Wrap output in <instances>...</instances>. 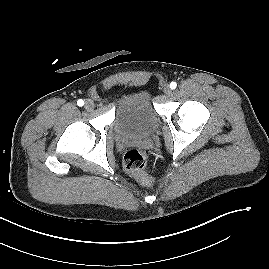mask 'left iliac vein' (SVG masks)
Wrapping results in <instances>:
<instances>
[{"label":"left iliac vein","mask_w":269,"mask_h":269,"mask_svg":"<svg viewBox=\"0 0 269 269\" xmlns=\"http://www.w3.org/2000/svg\"><path fill=\"white\" fill-rule=\"evenodd\" d=\"M163 92L165 95L170 96L172 93V90L170 89L169 85H165L163 88Z\"/></svg>","instance_id":"left-iliac-vein-1"}]
</instances>
